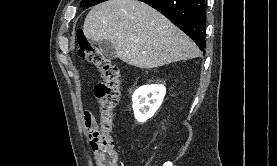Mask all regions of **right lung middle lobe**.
Segmentation results:
<instances>
[{
  "label": "right lung middle lobe",
  "instance_id": "obj_1",
  "mask_svg": "<svg viewBox=\"0 0 277 166\" xmlns=\"http://www.w3.org/2000/svg\"><path fill=\"white\" fill-rule=\"evenodd\" d=\"M107 0H83L80 5L83 7H91Z\"/></svg>",
  "mask_w": 277,
  "mask_h": 166
}]
</instances>
